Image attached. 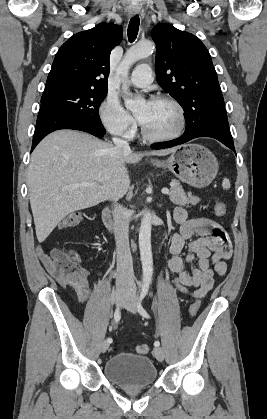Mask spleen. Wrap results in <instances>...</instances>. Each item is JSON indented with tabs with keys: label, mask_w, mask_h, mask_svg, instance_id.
Listing matches in <instances>:
<instances>
[{
	"label": "spleen",
	"mask_w": 267,
	"mask_h": 419,
	"mask_svg": "<svg viewBox=\"0 0 267 419\" xmlns=\"http://www.w3.org/2000/svg\"><path fill=\"white\" fill-rule=\"evenodd\" d=\"M222 187H223V189H225V190H227V189H229V188H230V181H229V179H227V178H224V179H223V182H222Z\"/></svg>",
	"instance_id": "1"
}]
</instances>
